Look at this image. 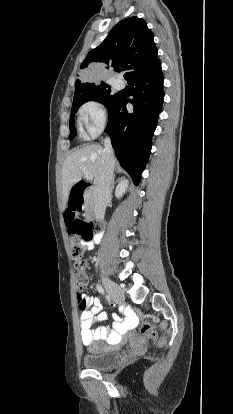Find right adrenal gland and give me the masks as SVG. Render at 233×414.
<instances>
[{"label":"right adrenal gland","instance_id":"2a0ac1e0","mask_svg":"<svg viewBox=\"0 0 233 414\" xmlns=\"http://www.w3.org/2000/svg\"><path fill=\"white\" fill-rule=\"evenodd\" d=\"M121 180V178L120 179H118V181H120ZM115 175H113V178H112V182H111V191L114 189V186H115Z\"/></svg>","mask_w":233,"mask_h":414}]
</instances>
